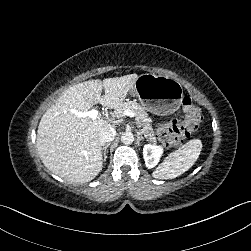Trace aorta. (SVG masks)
I'll return each mask as SVG.
<instances>
[{
	"label": "aorta",
	"mask_w": 251,
	"mask_h": 251,
	"mask_svg": "<svg viewBox=\"0 0 251 251\" xmlns=\"http://www.w3.org/2000/svg\"><path fill=\"white\" fill-rule=\"evenodd\" d=\"M121 141L126 145L131 144L134 141V136L132 133L125 132L121 135Z\"/></svg>",
	"instance_id": "obj_1"
}]
</instances>
